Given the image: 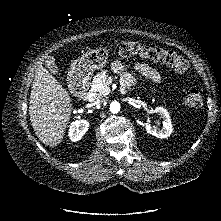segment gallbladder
<instances>
[{
  "label": "gallbladder",
  "mask_w": 221,
  "mask_h": 221,
  "mask_svg": "<svg viewBox=\"0 0 221 221\" xmlns=\"http://www.w3.org/2000/svg\"><path fill=\"white\" fill-rule=\"evenodd\" d=\"M45 65L50 70V72H52L55 75H58L59 70L55 64V59L53 57H51V56L47 57L45 59Z\"/></svg>",
  "instance_id": "1"
}]
</instances>
